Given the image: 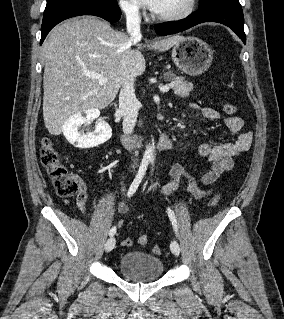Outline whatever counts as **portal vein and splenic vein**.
<instances>
[{
  "mask_svg": "<svg viewBox=\"0 0 284 319\" xmlns=\"http://www.w3.org/2000/svg\"><path fill=\"white\" fill-rule=\"evenodd\" d=\"M89 77L98 80L99 84H101V85H104L108 82V79L106 77L99 75V74H91V75H89ZM172 85L173 84L161 86L159 89L161 92H168Z\"/></svg>",
  "mask_w": 284,
  "mask_h": 319,
  "instance_id": "1",
  "label": "portal vein and splenic vein"
}]
</instances>
